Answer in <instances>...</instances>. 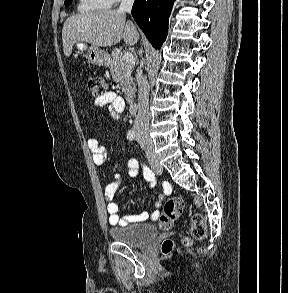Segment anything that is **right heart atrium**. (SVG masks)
<instances>
[{"mask_svg":"<svg viewBox=\"0 0 288 293\" xmlns=\"http://www.w3.org/2000/svg\"><path fill=\"white\" fill-rule=\"evenodd\" d=\"M110 1H111L112 4H114V3H117V2H119L121 0H110Z\"/></svg>","mask_w":288,"mask_h":293,"instance_id":"right-heart-atrium-1","label":"right heart atrium"}]
</instances>
